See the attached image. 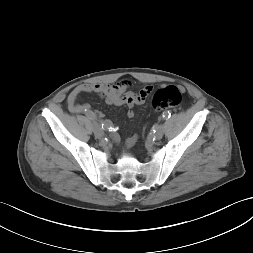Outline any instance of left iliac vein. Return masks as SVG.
I'll return each mask as SVG.
<instances>
[{"mask_svg": "<svg viewBox=\"0 0 253 253\" xmlns=\"http://www.w3.org/2000/svg\"><path fill=\"white\" fill-rule=\"evenodd\" d=\"M164 135V127L163 125H159L157 127V130L156 132L154 133V137L157 139V140H160Z\"/></svg>", "mask_w": 253, "mask_h": 253, "instance_id": "1", "label": "left iliac vein"}]
</instances>
